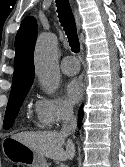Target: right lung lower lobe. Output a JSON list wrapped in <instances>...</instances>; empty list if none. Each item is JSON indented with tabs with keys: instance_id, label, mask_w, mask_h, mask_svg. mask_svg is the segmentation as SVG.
<instances>
[{
	"instance_id": "obj_1",
	"label": "right lung lower lobe",
	"mask_w": 125,
	"mask_h": 167,
	"mask_svg": "<svg viewBox=\"0 0 125 167\" xmlns=\"http://www.w3.org/2000/svg\"><path fill=\"white\" fill-rule=\"evenodd\" d=\"M82 117H83V110H82V107H81V109L79 111V115H78V127H81Z\"/></svg>"
}]
</instances>
